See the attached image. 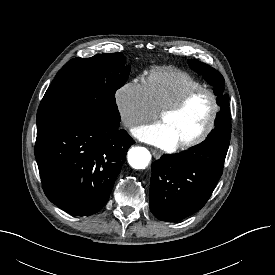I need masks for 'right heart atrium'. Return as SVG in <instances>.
Masks as SVG:
<instances>
[{
	"instance_id": "d8ad5b80",
	"label": "right heart atrium",
	"mask_w": 275,
	"mask_h": 275,
	"mask_svg": "<svg viewBox=\"0 0 275 275\" xmlns=\"http://www.w3.org/2000/svg\"><path fill=\"white\" fill-rule=\"evenodd\" d=\"M115 104L121 121L127 128L135 127L155 114L142 82L124 83L115 93Z\"/></svg>"
}]
</instances>
